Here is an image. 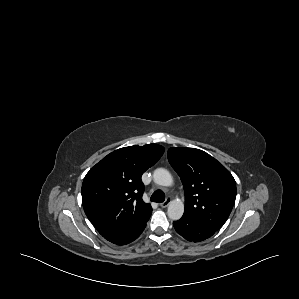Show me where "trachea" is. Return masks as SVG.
<instances>
[{
	"label": "trachea",
	"mask_w": 299,
	"mask_h": 299,
	"mask_svg": "<svg viewBox=\"0 0 299 299\" xmlns=\"http://www.w3.org/2000/svg\"><path fill=\"white\" fill-rule=\"evenodd\" d=\"M165 200V195L161 191H156L151 195V201L161 203L164 202Z\"/></svg>",
	"instance_id": "obj_1"
}]
</instances>
